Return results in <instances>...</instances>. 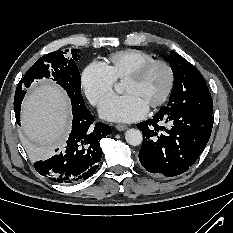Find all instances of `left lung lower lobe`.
<instances>
[{
    "mask_svg": "<svg viewBox=\"0 0 233 233\" xmlns=\"http://www.w3.org/2000/svg\"><path fill=\"white\" fill-rule=\"evenodd\" d=\"M213 120L209 114L162 107L152 119L137 124L144 139L139 151L140 163L148 172L160 176L184 173L206 147Z\"/></svg>",
    "mask_w": 233,
    "mask_h": 233,
    "instance_id": "left-lung-lower-lobe-1",
    "label": "left lung lower lobe"
}]
</instances>
